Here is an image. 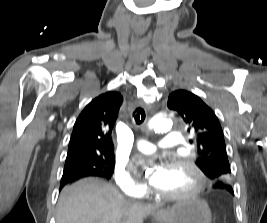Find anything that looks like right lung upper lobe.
<instances>
[{
  "label": "right lung upper lobe",
  "instance_id": "1",
  "mask_svg": "<svg viewBox=\"0 0 267 223\" xmlns=\"http://www.w3.org/2000/svg\"><path fill=\"white\" fill-rule=\"evenodd\" d=\"M122 101L120 93L110 91L84 108L74 124L66 160L114 155L111 133Z\"/></svg>",
  "mask_w": 267,
  "mask_h": 223
}]
</instances>
